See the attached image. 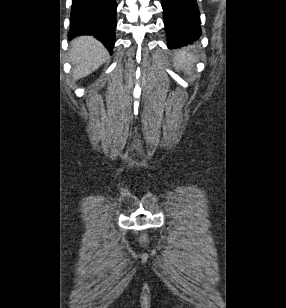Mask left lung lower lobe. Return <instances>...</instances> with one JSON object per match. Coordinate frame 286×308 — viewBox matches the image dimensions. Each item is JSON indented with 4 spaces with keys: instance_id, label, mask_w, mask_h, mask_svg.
Returning <instances> with one entry per match:
<instances>
[{
    "instance_id": "left-lung-lower-lobe-1",
    "label": "left lung lower lobe",
    "mask_w": 286,
    "mask_h": 308,
    "mask_svg": "<svg viewBox=\"0 0 286 308\" xmlns=\"http://www.w3.org/2000/svg\"><path fill=\"white\" fill-rule=\"evenodd\" d=\"M168 48L196 42L201 35L200 14L196 0H162Z\"/></svg>"
}]
</instances>
